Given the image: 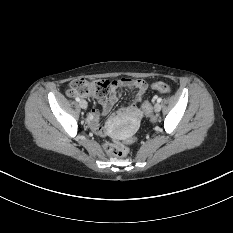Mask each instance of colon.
<instances>
[{
  "mask_svg": "<svg viewBox=\"0 0 233 233\" xmlns=\"http://www.w3.org/2000/svg\"><path fill=\"white\" fill-rule=\"evenodd\" d=\"M110 81L105 79L88 80L84 78L74 79L69 84V93L84 97L104 98L110 89ZM152 89L162 94L170 93L171 88L164 82H155ZM143 110L147 115H151V103L146 101ZM103 149L110 156H123L127 152L126 146L121 142L105 143Z\"/></svg>",
  "mask_w": 233,
  "mask_h": 233,
  "instance_id": "5ec220e1",
  "label": "colon"
}]
</instances>
